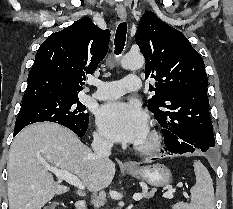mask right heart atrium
<instances>
[{"mask_svg": "<svg viewBox=\"0 0 233 209\" xmlns=\"http://www.w3.org/2000/svg\"><path fill=\"white\" fill-rule=\"evenodd\" d=\"M94 140L97 144H101V145H110L111 144L110 141L100 133L95 134Z\"/></svg>", "mask_w": 233, "mask_h": 209, "instance_id": "right-heart-atrium-1", "label": "right heart atrium"}]
</instances>
